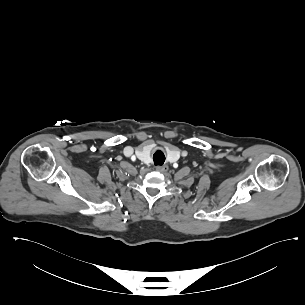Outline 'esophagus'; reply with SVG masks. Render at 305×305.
Returning a JSON list of instances; mask_svg holds the SVG:
<instances>
[{"label": "esophagus", "instance_id": "obj_1", "mask_svg": "<svg viewBox=\"0 0 305 305\" xmlns=\"http://www.w3.org/2000/svg\"><path fill=\"white\" fill-rule=\"evenodd\" d=\"M169 167L167 165H158L156 166V170L160 172H166L168 171Z\"/></svg>", "mask_w": 305, "mask_h": 305}]
</instances>
